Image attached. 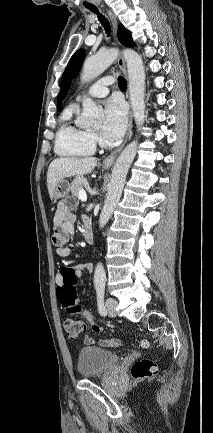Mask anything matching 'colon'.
<instances>
[{
	"label": "colon",
	"mask_w": 213,
	"mask_h": 433,
	"mask_svg": "<svg viewBox=\"0 0 213 433\" xmlns=\"http://www.w3.org/2000/svg\"><path fill=\"white\" fill-rule=\"evenodd\" d=\"M63 285L58 289L57 294L61 304L65 307L68 316L63 321V326L66 334L70 338H76L85 331V325L80 319L83 317L92 325L95 332L103 331V327L96 322L94 316L83 311L77 301L76 284L78 276L75 270L71 267H64L61 270ZM141 345L144 348L149 347L147 340H142ZM157 371L156 365L149 359H142L134 363L132 367V375L137 379H143L153 376Z\"/></svg>",
	"instance_id": "1"
}]
</instances>
